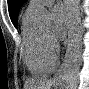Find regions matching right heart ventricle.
Instances as JSON below:
<instances>
[{
    "instance_id": "obj_1",
    "label": "right heart ventricle",
    "mask_w": 89,
    "mask_h": 89,
    "mask_svg": "<svg viewBox=\"0 0 89 89\" xmlns=\"http://www.w3.org/2000/svg\"><path fill=\"white\" fill-rule=\"evenodd\" d=\"M34 14L26 11L22 17L24 62L31 74L47 75L55 69L57 59L47 49L42 30L35 24Z\"/></svg>"
}]
</instances>
